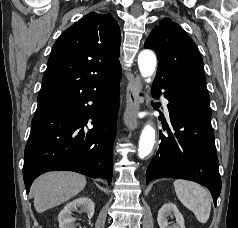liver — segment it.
<instances>
[{
  "mask_svg": "<svg viewBox=\"0 0 238 228\" xmlns=\"http://www.w3.org/2000/svg\"><path fill=\"white\" fill-rule=\"evenodd\" d=\"M86 186L83 175L72 172H51L38 177L31 186L34 207L42 213L64 203Z\"/></svg>",
  "mask_w": 238,
  "mask_h": 228,
  "instance_id": "obj_1",
  "label": "liver"
}]
</instances>
